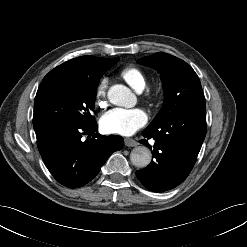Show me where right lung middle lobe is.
<instances>
[{
	"mask_svg": "<svg viewBox=\"0 0 247 247\" xmlns=\"http://www.w3.org/2000/svg\"><path fill=\"white\" fill-rule=\"evenodd\" d=\"M113 58L102 72L114 66ZM99 80L89 81L67 77L43 79L34 101L33 126L41 123L62 122L79 125L95 123L92 111L95 106Z\"/></svg>",
	"mask_w": 247,
	"mask_h": 247,
	"instance_id": "obj_1",
	"label": "right lung middle lobe"
}]
</instances>
